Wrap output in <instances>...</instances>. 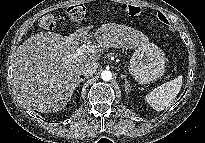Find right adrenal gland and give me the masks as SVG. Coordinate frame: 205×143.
Instances as JSON below:
<instances>
[{
    "mask_svg": "<svg viewBox=\"0 0 205 143\" xmlns=\"http://www.w3.org/2000/svg\"><path fill=\"white\" fill-rule=\"evenodd\" d=\"M84 81H85V78H81V79L78 81L76 87H78V86L80 85V83H82V82H84Z\"/></svg>",
    "mask_w": 205,
    "mask_h": 143,
    "instance_id": "1",
    "label": "right adrenal gland"
}]
</instances>
